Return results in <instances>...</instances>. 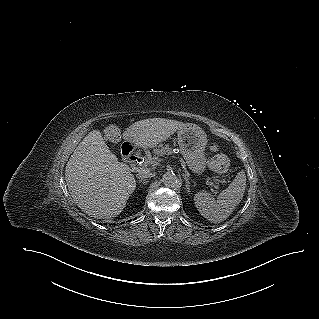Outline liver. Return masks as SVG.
<instances>
[{
  "label": "liver",
  "instance_id": "obj_1",
  "mask_svg": "<svg viewBox=\"0 0 319 319\" xmlns=\"http://www.w3.org/2000/svg\"><path fill=\"white\" fill-rule=\"evenodd\" d=\"M186 125L164 118L144 119L130 125L123 139L133 146L155 147ZM65 180L83 212L105 219L122 212L136 187L131 169L118 161L99 130L91 131L78 144L66 164Z\"/></svg>",
  "mask_w": 319,
  "mask_h": 319
}]
</instances>
